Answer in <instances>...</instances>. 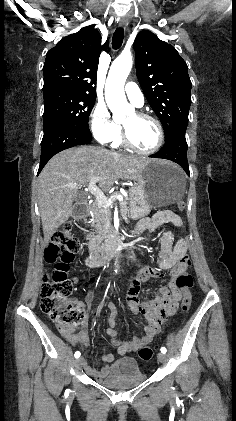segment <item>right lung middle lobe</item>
Listing matches in <instances>:
<instances>
[{"label": "right lung middle lobe", "instance_id": "dd1d6c3e", "mask_svg": "<svg viewBox=\"0 0 236 421\" xmlns=\"http://www.w3.org/2000/svg\"><path fill=\"white\" fill-rule=\"evenodd\" d=\"M44 134L58 127L91 135L88 120L95 96L61 89L43 90Z\"/></svg>", "mask_w": 236, "mask_h": 421}]
</instances>
